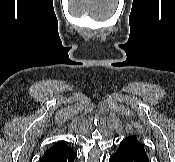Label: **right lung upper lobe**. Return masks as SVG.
Segmentation results:
<instances>
[{
  "mask_svg": "<svg viewBox=\"0 0 175 162\" xmlns=\"http://www.w3.org/2000/svg\"><path fill=\"white\" fill-rule=\"evenodd\" d=\"M66 146H67L66 142L60 141V142L55 143L50 149H56V148L66 147Z\"/></svg>",
  "mask_w": 175,
  "mask_h": 162,
  "instance_id": "right-lung-upper-lobe-1",
  "label": "right lung upper lobe"
}]
</instances>
